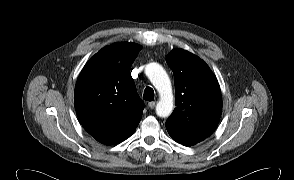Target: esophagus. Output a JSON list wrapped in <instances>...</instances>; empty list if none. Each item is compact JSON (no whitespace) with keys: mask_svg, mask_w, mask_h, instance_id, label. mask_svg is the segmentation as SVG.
I'll list each match as a JSON object with an SVG mask.
<instances>
[{"mask_svg":"<svg viewBox=\"0 0 294 180\" xmlns=\"http://www.w3.org/2000/svg\"><path fill=\"white\" fill-rule=\"evenodd\" d=\"M148 106H149L150 109H154V107L156 106V102L151 101V102L148 103Z\"/></svg>","mask_w":294,"mask_h":180,"instance_id":"obj_1","label":"esophagus"}]
</instances>
